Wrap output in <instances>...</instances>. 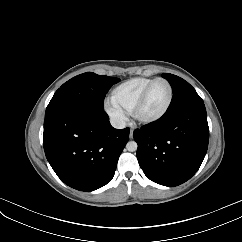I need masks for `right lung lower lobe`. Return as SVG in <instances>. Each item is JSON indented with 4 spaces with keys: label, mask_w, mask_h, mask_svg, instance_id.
I'll return each instance as SVG.
<instances>
[{
    "label": "right lung lower lobe",
    "mask_w": 242,
    "mask_h": 242,
    "mask_svg": "<svg viewBox=\"0 0 242 242\" xmlns=\"http://www.w3.org/2000/svg\"><path fill=\"white\" fill-rule=\"evenodd\" d=\"M129 131L113 128L104 109L68 105L45 114L43 145L65 184L93 191L112 180Z\"/></svg>",
    "instance_id": "1"
}]
</instances>
